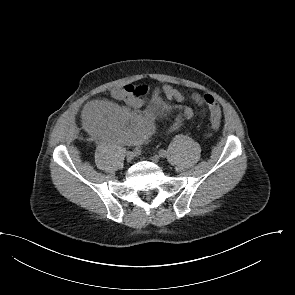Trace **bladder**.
<instances>
[{"instance_id":"31cf9c89","label":"bladder","mask_w":295,"mask_h":295,"mask_svg":"<svg viewBox=\"0 0 295 295\" xmlns=\"http://www.w3.org/2000/svg\"><path fill=\"white\" fill-rule=\"evenodd\" d=\"M159 111H166V110H165V109H163V108H160V109H159Z\"/></svg>"}]
</instances>
